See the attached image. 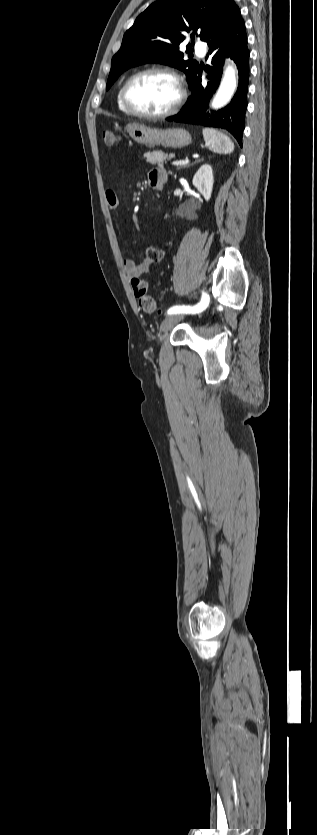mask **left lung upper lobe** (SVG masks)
I'll use <instances>...</instances> for the list:
<instances>
[{
    "label": "left lung upper lobe",
    "instance_id": "1",
    "mask_svg": "<svg viewBox=\"0 0 317 835\" xmlns=\"http://www.w3.org/2000/svg\"><path fill=\"white\" fill-rule=\"evenodd\" d=\"M228 1L158 0L151 4L124 34L120 50L112 58L106 90L124 71L147 62L176 67L190 82L199 64L183 59L179 45L186 40L184 34L191 32L192 42L195 36L207 42L223 24ZM188 46L187 53L192 43Z\"/></svg>",
    "mask_w": 317,
    "mask_h": 835
}]
</instances>
